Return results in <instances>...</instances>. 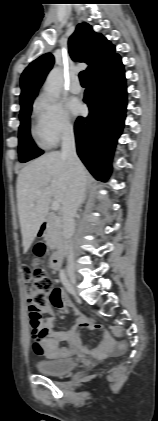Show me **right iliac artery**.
<instances>
[{"label":"right iliac artery","mask_w":158,"mask_h":421,"mask_svg":"<svg viewBox=\"0 0 158 421\" xmlns=\"http://www.w3.org/2000/svg\"><path fill=\"white\" fill-rule=\"evenodd\" d=\"M60 280L62 282V284L64 285L65 289L69 292V293H73L74 289L70 283V281L68 280L66 273L64 270L60 271Z\"/></svg>","instance_id":"1"}]
</instances>
